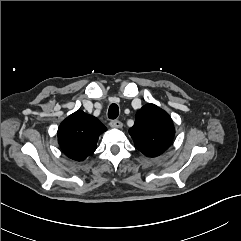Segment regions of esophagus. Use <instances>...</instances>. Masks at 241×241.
<instances>
[{"instance_id": "34e87169", "label": "esophagus", "mask_w": 241, "mask_h": 241, "mask_svg": "<svg viewBox=\"0 0 241 241\" xmlns=\"http://www.w3.org/2000/svg\"><path fill=\"white\" fill-rule=\"evenodd\" d=\"M109 125L112 128H121L122 127V122L119 121V120H112V121H110Z\"/></svg>"}]
</instances>
